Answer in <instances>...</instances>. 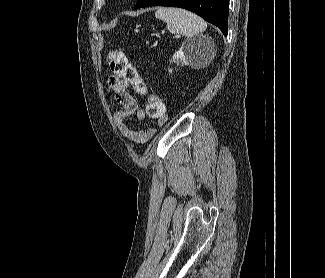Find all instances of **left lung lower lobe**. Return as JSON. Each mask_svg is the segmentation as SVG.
Wrapping results in <instances>:
<instances>
[{"instance_id":"left-lung-lower-lobe-1","label":"left lung lower lobe","mask_w":325,"mask_h":278,"mask_svg":"<svg viewBox=\"0 0 325 278\" xmlns=\"http://www.w3.org/2000/svg\"><path fill=\"white\" fill-rule=\"evenodd\" d=\"M148 6H170L190 10L219 27L227 36L228 0H138L134 10Z\"/></svg>"}]
</instances>
